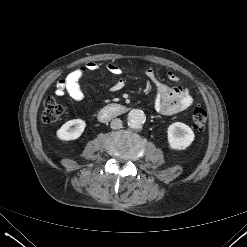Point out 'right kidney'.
I'll return each mask as SVG.
<instances>
[{"label": "right kidney", "instance_id": "obj_1", "mask_svg": "<svg viewBox=\"0 0 247 247\" xmlns=\"http://www.w3.org/2000/svg\"><path fill=\"white\" fill-rule=\"evenodd\" d=\"M85 127L86 123L84 120L73 119L63 124L61 128L57 130L56 135L60 140H76L82 135Z\"/></svg>", "mask_w": 247, "mask_h": 247}]
</instances>
